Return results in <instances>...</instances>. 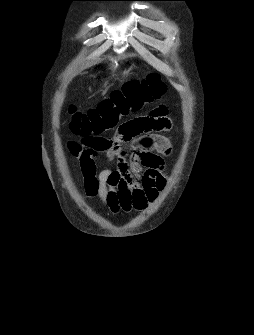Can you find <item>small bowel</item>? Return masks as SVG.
Listing matches in <instances>:
<instances>
[{"instance_id": "1", "label": "small bowel", "mask_w": 254, "mask_h": 335, "mask_svg": "<svg viewBox=\"0 0 254 335\" xmlns=\"http://www.w3.org/2000/svg\"><path fill=\"white\" fill-rule=\"evenodd\" d=\"M168 108L157 104L146 117L117 124L115 139L104 151L70 141L68 149L79 160L87 196L98 198L113 213L143 211L163 189L165 159L172 153V143L159 133L173 129ZM130 144L133 151L125 147ZM104 153L116 163L98 171L96 157Z\"/></svg>"}]
</instances>
